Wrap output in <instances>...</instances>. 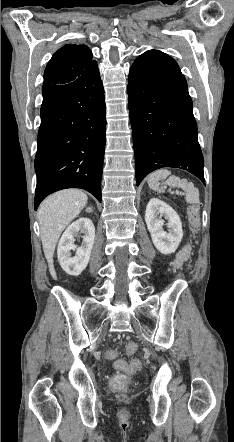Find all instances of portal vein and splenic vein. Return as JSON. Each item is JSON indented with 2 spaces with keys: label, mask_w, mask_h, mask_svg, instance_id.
I'll return each instance as SVG.
<instances>
[{
  "label": "portal vein and splenic vein",
  "mask_w": 234,
  "mask_h": 442,
  "mask_svg": "<svg viewBox=\"0 0 234 442\" xmlns=\"http://www.w3.org/2000/svg\"><path fill=\"white\" fill-rule=\"evenodd\" d=\"M171 193H173V192H171ZM176 194H178V195H184V193L179 192V191H177Z\"/></svg>",
  "instance_id": "1"
}]
</instances>
